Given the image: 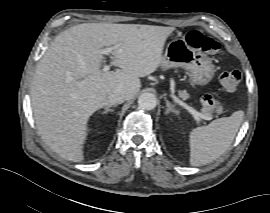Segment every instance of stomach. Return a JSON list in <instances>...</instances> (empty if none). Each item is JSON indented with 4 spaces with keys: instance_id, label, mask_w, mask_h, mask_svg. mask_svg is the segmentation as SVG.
<instances>
[{
    "instance_id": "0dacf381",
    "label": "stomach",
    "mask_w": 270,
    "mask_h": 213,
    "mask_svg": "<svg viewBox=\"0 0 270 213\" xmlns=\"http://www.w3.org/2000/svg\"><path fill=\"white\" fill-rule=\"evenodd\" d=\"M161 66L187 70L190 82L200 86L207 85L215 72L211 59L200 50L189 46L184 38H175L167 45Z\"/></svg>"
}]
</instances>
